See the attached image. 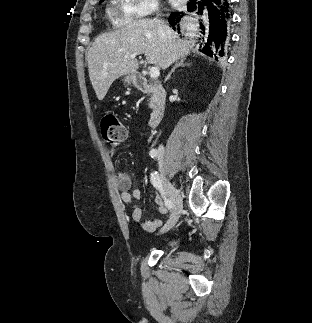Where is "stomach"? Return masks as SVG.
Wrapping results in <instances>:
<instances>
[{
	"instance_id": "1",
	"label": "stomach",
	"mask_w": 312,
	"mask_h": 323,
	"mask_svg": "<svg viewBox=\"0 0 312 323\" xmlns=\"http://www.w3.org/2000/svg\"><path fill=\"white\" fill-rule=\"evenodd\" d=\"M136 80V74H129V76H125L124 78V82H126V84H134Z\"/></svg>"
}]
</instances>
